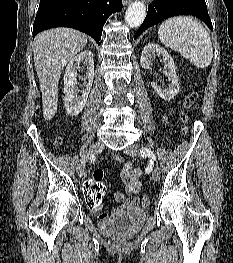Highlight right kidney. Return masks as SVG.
<instances>
[{"label": "right kidney", "mask_w": 233, "mask_h": 263, "mask_svg": "<svg viewBox=\"0 0 233 263\" xmlns=\"http://www.w3.org/2000/svg\"><path fill=\"white\" fill-rule=\"evenodd\" d=\"M81 64L87 69L86 76L79 78L83 82L82 85L77 81V71L81 69ZM94 79V61L93 53L85 50L72 58L65 70L64 75V100L67 113L74 117L77 116L84 108ZM79 92L81 95H79Z\"/></svg>", "instance_id": "1"}]
</instances>
